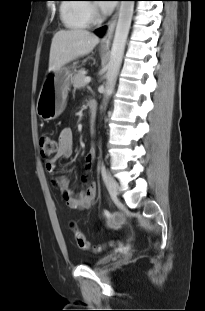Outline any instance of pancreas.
I'll return each instance as SVG.
<instances>
[{
    "instance_id": "obj_1",
    "label": "pancreas",
    "mask_w": 205,
    "mask_h": 311,
    "mask_svg": "<svg viewBox=\"0 0 205 311\" xmlns=\"http://www.w3.org/2000/svg\"><path fill=\"white\" fill-rule=\"evenodd\" d=\"M85 74L86 71L84 69H81L72 77L71 82L75 89H81L86 86V83L84 81L86 77Z\"/></svg>"
}]
</instances>
